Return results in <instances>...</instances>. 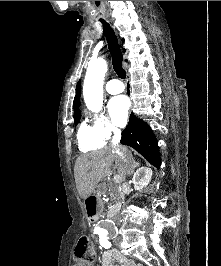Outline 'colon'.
<instances>
[{"mask_svg": "<svg viewBox=\"0 0 221 266\" xmlns=\"http://www.w3.org/2000/svg\"><path fill=\"white\" fill-rule=\"evenodd\" d=\"M75 258V266H90L93 263L95 251L90 237H80L75 250Z\"/></svg>", "mask_w": 221, "mask_h": 266, "instance_id": "obj_1", "label": "colon"}]
</instances>
